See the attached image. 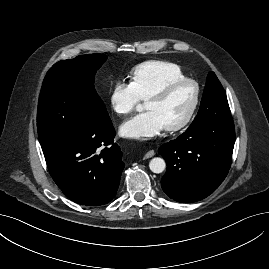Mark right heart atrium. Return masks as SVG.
<instances>
[{
	"label": "right heart atrium",
	"mask_w": 269,
	"mask_h": 269,
	"mask_svg": "<svg viewBox=\"0 0 269 269\" xmlns=\"http://www.w3.org/2000/svg\"><path fill=\"white\" fill-rule=\"evenodd\" d=\"M139 103L140 98L131 83L117 81L113 85L109 95V104L115 114L128 115Z\"/></svg>",
	"instance_id": "obj_1"
}]
</instances>
